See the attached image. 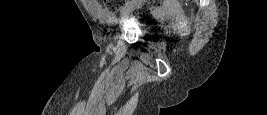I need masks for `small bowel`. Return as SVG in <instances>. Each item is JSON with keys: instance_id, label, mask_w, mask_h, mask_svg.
Returning <instances> with one entry per match:
<instances>
[{"instance_id": "1", "label": "small bowel", "mask_w": 267, "mask_h": 115, "mask_svg": "<svg viewBox=\"0 0 267 115\" xmlns=\"http://www.w3.org/2000/svg\"><path fill=\"white\" fill-rule=\"evenodd\" d=\"M91 11L100 19L111 20L112 14L106 11L102 5L96 0H87L86 1ZM176 9V5L170 1H167L163 4V6L159 7L156 11L159 13L166 11H174Z\"/></svg>"}]
</instances>
